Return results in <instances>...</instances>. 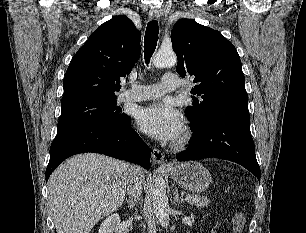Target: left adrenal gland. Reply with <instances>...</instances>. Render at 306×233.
I'll list each match as a JSON object with an SVG mask.
<instances>
[{"mask_svg": "<svg viewBox=\"0 0 306 233\" xmlns=\"http://www.w3.org/2000/svg\"><path fill=\"white\" fill-rule=\"evenodd\" d=\"M174 202L177 204L184 203V199L179 196L177 188H175V191H174Z\"/></svg>", "mask_w": 306, "mask_h": 233, "instance_id": "obj_1", "label": "left adrenal gland"}]
</instances>
